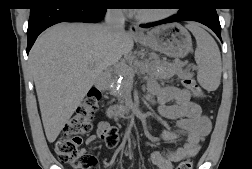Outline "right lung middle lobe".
<instances>
[{
	"label": "right lung middle lobe",
	"mask_w": 252,
	"mask_h": 169,
	"mask_svg": "<svg viewBox=\"0 0 252 169\" xmlns=\"http://www.w3.org/2000/svg\"><path fill=\"white\" fill-rule=\"evenodd\" d=\"M92 1L104 3L107 2L108 0H92Z\"/></svg>",
	"instance_id": "right-lung-middle-lobe-1"
}]
</instances>
